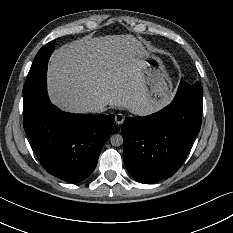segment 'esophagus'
Returning a JSON list of instances; mask_svg holds the SVG:
<instances>
[{
	"mask_svg": "<svg viewBox=\"0 0 233 233\" xmlns=\"http://www.w3.org/2000/svg\"><path fill=\"white\" fill-rule=\"evenodd\" d=\"M124 120H125V116L121 113L115 116V121L118 125H121L124 122Z\"/></svg>",
	"mask_w": 233,
	"mask_h": 233,
	"instance_id": "1",
	"label": "esophagus"
}]
</instances>
